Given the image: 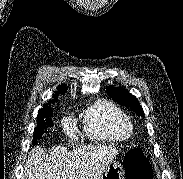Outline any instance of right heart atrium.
Wrapping results in <instances>:
<instances>
[{"mask_svg":"<svg viewBox=\"0 0 183 179\" xmlns=\"http://www.w3.org/2000/svg\"><path fill=\"white\" fill-rule=\"evenodd\" d=\"M64 125H65V128L67 131H69V132L74 131V126L69 120H65Z\"/></svg>","mask_w":183,"mask_h":179,"instance_id":"d8ad5b80","label":"right heart atrium"}]
</instances>
